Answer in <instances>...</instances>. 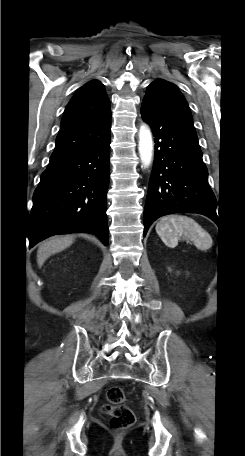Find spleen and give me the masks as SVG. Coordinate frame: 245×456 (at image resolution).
<instances>
[{
  "label": "spleen",
  "instance_id": "1",
  "mask_svg": "<svg viewBox=\"0 0 245 456\" xmlns=\"http://www.w3.org/2000/svg\"><path fill=\"white\" fill-rule=\"evenodd\" d=\"M156 232L168 247H176L180 236L195 243L199 249L212 245L211 236L192 218L183 215L163 217L156 225Z\"/></svg>",
  "mask_w": 245,
  "mask_h": 456
}]
</instances>
